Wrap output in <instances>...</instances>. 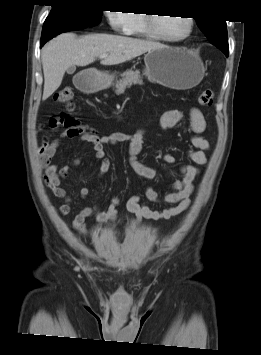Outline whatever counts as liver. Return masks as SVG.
I'll list each match as a JSON object with an SVG mask.
<instances>
[{
    "label": "liver",
    "instance_id": "liver-1",
    "mask_svg": "<svg viewBox=\"0 0 261 355\" xmlns=\"http://www.w3.org/2000/svg\"><path fill=\"white\" fill-rule=\"evenodd\" d=\"M164 45L121 35L91 34L78 38L74 33H63L49 41L42 49L44 73L43 100L61 85L65 71L71 66H87L102 54V65H117Z\"/></svg>",
    "mask_w": 261,
    "mask_h": 355
}]
</instances>
